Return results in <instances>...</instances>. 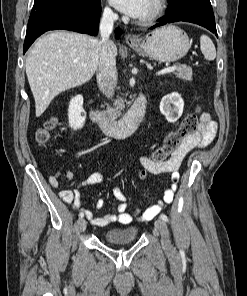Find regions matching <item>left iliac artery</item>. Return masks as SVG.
Listing matches in <instances>:
<instances>
[{
  "mask_svg": "<svg viewBox=\"0 0 247 296\" xmlns=\"http://www.w3.org/2000/svg\"><path fill=\"white\" fill-rule=\"evenodd\" d=\"M160 218L165 221V222H168V217L165 215V214H161L160 215Z\"/></svg>",
  "mask_w": 247,
  "mask_h": 296,
  "instance_id": "obj_1",
  "label": "left iliac artery"
}]
</instances>
